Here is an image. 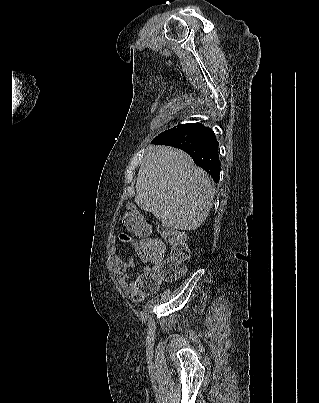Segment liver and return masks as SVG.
I'll list each match as a JSON object with an SVG mask.
<instances>
[{"label": "liver", "mask_w": 319, "mask_h": 403, "mask_svg": "<svg viewBox=\"0 0 319 403\" xmlns=\"http://www.w3.org/2000/svg\"><path fill=\"white\" fill-rule=\"evenodd\" d=\"M214 198L208 174L182 150L149 146L136 181V204L164 225L195 230L207 218Z\"/></svg>", "instance_id": "obj_1"}]
</instances>
